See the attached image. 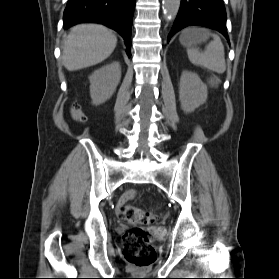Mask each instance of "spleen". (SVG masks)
Returning a JSON list of instances; mask_svg holds the SVG:
<instances>
[{
	"instance_id": "obj_1",
	"label": "spleen",
	"mask_w": 279,
	"mask_h": 279,
	"mask_svg": "<svg viewBox=\"0 0 279 279\" xmlns=\"http://www.w3.org/2000/svg\"><path fill=\"white\" fill-rule=\"evenodd\" d=\"M213 40L205 47L203 52L196 48L189 47L188 58L194 65L205 67L216 73H223L226 70L224 46L220 37L212 34Z\"/></svg>"
}]
</instances>
